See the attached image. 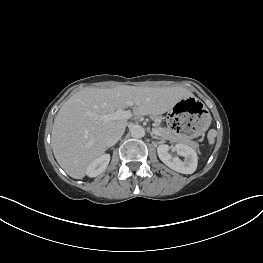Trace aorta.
I'll use <instances>...</instances> for the list:
<instances>
[{
	"instance_id": "aorta-1",
	"label": "aorta",
	"mask_w": 263,
	"mask_h": 263,
	"mask_svg": "<svg viewBox=\"0 0 263 263\" xmlns=\"http://www.w3.org/2000/svg\"><path fill=\"white\" fill-rule=\"evenodd\" d=\"M130 134L133 138H142L145 135V130L141 125H133L130 128Z\"/></svg>"
}]
</instances>
